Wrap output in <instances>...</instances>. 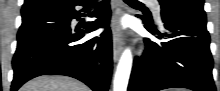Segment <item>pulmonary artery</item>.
Returning <instances> with one entry per match:
<instances>
[{"label":"pulmonary artery","mask_w":220,"mask_h":91,"mask_svg":"<svg viewBox=\"0 0 220 91\" xmlns=\"http://www.w3.org/2000/svg\"><path fill=\"white\" fill-rule=\"evenodd\" d=\"M148 3H150L152 5L153 8V13L155 14V16L160 19V7L158 5V1L156 0H150L147 1Z\"/></svg>","instance_id":"e3ab8cb5"}]
</instances>
